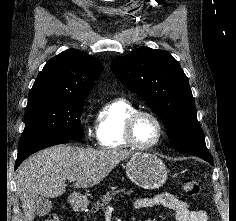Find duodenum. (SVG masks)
I'll list each match as a JSON object with an SVG mask.
<instances>
[{
  "label": "duodenum",
  "instance_id": "410a0bca",
  "mask_svg": "<svg viewBox=\"0 0 236 221\" xmlns=\"http://www.w3.org/2000/svg\"><path fill=\"white\" fill-rule=\"evenodd\" d=\"M74 209L76 211H83L84 210V207L83 205L79 204V203H76L75 206H74Z\"/></svg>",
  "mask_w": 236,
  "mask_h": 221
}]
</instances>
